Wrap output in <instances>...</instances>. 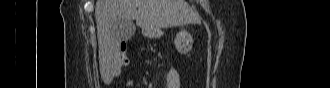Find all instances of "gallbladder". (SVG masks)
Returning <instances> with one entry per match:
<instances>
[{
  "instance_id": "gallbladder-1",
  "label": "gallbladder",
  "mask_w": 330,
  "mask_h": 88,
  "mask_svg": "<svg viewBox=\"0 0 330 88\" xmlns=\"http://www.w3.org/2000/svg\"><path fill=\"white\" fill-rule=\"evenodd\" d=\"M135 25L131 21H121L115 25V32L119 33L121 41H128L135 33Z\"/></svg>"
}]
</instances>
